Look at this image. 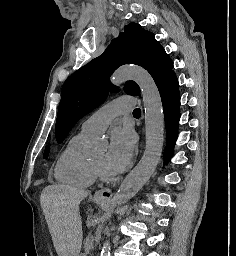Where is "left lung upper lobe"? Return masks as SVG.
<instances>
[{
    "mask_svg": "<svg viewBox=\"0 0 236 256\" xmlns=\"http://www.w3.org/2000/svg\"><path fill=\"white\" fill-rule=\"evenodd\" d=\"M129 63L145 68L156 84L173 68L171 59L153 33L139 24H128L100 57L77 70L65 83L55 125L58 143L64 141L84 115L107 98L109 91L117 90L109 81L110 75L119 66ZM124 91L133 96L140 94L139 86L133 81L125 84Z\"/></svg>",
    "mask_w": 236,
    "mask_h": 256,
    "instance_id": "left-lung-upper-lobe-1",
    "label": "left lung upper lobe"
}]
</instances>
